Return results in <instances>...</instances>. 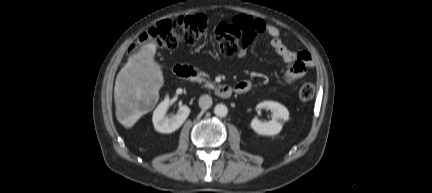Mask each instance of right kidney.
<instances>
[{
	"mask_svg": "<svg viewBox=\"0 0 432 193\" xmlns=\"http://www.w3.org/2000/svg\"><path fill=\"white\" fill-rule=\"evenodd\" d=\"M170 104L171 102L167 97L158 105L153 113L152 121L154 128L160 133H172L176 131L181 127L190 114L189 107L181 105L175 115L168 117L166 113Z\"/></svg>",
	"mask_w": 432,
	"mask_h": 193,
	"instance_id": "right-kidney-1",
	"label": "right kidney"
}]
</instances>
